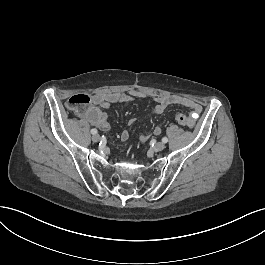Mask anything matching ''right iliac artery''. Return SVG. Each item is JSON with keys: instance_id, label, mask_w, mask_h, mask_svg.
<instances>
[{"instance_id": "right-iliac-artery-1", "label": "right iliac artery", "mask_w": 265, "mask_h": 265, "mask_svg": "<svg viewBox=\"0 0 265 265\" xmlns=\"http://www.w3.org/2000/svg\"><path fill=\"white\" fill-rule=\"evenodd\" d=\"M91 133L92 134H97V130L96 129H91Z\"/></svg>"}]
</instances>
